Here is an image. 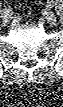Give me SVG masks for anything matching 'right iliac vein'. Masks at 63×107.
Wrapping results in <instances>:
<instances>
[{"instance_id": "obj_1", "label": "right iliac vein", "mask_w": 63, "mask_h": 107, "mask_svg": "<svg viewBox=\"0 0 63 107\" xmlns=\"http://www.w3.org/2000/svg\"><path fill=\"white\" fill-rule=\"evenodd\" d=\"M9 23V18L5 15L2 16V24L5 26Z\"/></svg>"}]
</instances>
